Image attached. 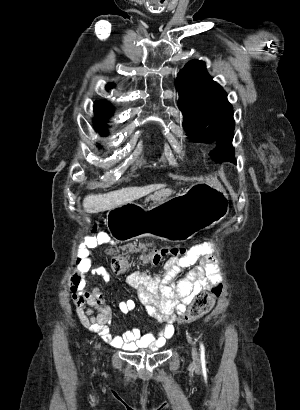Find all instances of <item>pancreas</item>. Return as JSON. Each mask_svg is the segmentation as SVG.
<instances>
[{
	"label": "pancreas",
	"mask_w": 300,
	"mask_h": 410,
	"mask_svg": "<svg viewBox=\"0 0 300 410\" xmlns=\"http://www.w3.org/2000/svg\"><path fill=\"white\" fill-rule=\"evenodd\" d=\"M166 197H167V194L164 192H161V198H159L158 200H162V198L165 199Z\"/></svg>",
	"instance_id": "pancreas-1"
}]
</instances>
